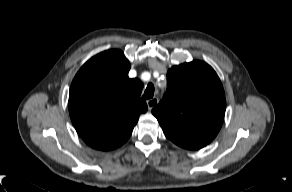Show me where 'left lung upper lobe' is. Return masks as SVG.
<instances>
[{"instance_id":"5c2ea615","label":"left lung upper lobe","mask_w":292,"mask_h":192,"mask_svg":"<svg viewBox=\"0 0 292 192\" xmlns=\"http://www.w3.org/2000/svg\"><path fill=\"white\" fill-rule=\"evenodd\" d=\"M225 109V93L216 72L205 62L192 61L168 70L167 91L152 113L168 139L197 150L216 137Z\"/></svg>"}]
</instances>
